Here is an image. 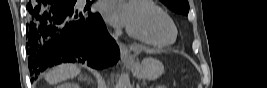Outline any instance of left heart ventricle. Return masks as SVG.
Here are the masks:
<instances>
[{
  "mask_svg": "<svg viewBox=\"0 0 267 88\" xmlns=\"http://www.w3.org/2000/svg\"><path fill=\"white\" fill-rule=\"evenodd\" d=\"M128 27L138 35L154 42H170L175 35L170 20L145 5H130Z\"/></svg>",
  "mask_w": 267,
  "mask_h": 88,
  "instance_id": "1",
  "label": "left heart ventricle"
}]
</instances>
